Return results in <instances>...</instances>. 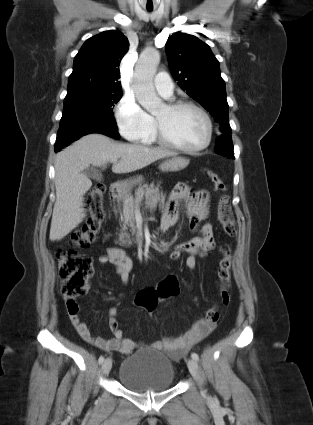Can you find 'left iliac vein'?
I'll list each match as a JSON object with an SVG mask.
<instances>
[{"label":"left iliac vein","mask_w":313,"mask_h":425,"mask_svg":"<svg viewBox=\"0 0 313 425\" xmlns=\"http://www.w3.org/2000/svg\"><path fill=\"white\" fill-rule=\"evenodd\" d=\"M187 365L189 368L190 373L192 374V376L196 379V381L198 382L202 393H205V390L202 387V381H201V377H200V371H199V366L196 360H194L193 358H189L187 360Z\"/></svg>","instance_id":"4c4485c4"}]
</instances>
